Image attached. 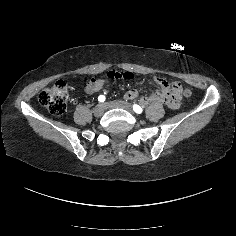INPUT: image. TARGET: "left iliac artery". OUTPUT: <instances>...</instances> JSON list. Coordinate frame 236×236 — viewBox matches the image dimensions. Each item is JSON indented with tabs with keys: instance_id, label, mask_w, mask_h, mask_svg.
Listing matches in <instances>:
<instances>
[{
	"instance_id": "1",
	"label": "left iliac artery",
	"mask_w": 236,
	"mask_h": 236,
	"mask_svg": "<svg viewBox=\"0 0 236 236\" xmlns=\"http://www.w3.org/2000/svg\"><path fill=\"white\" fill-rule=\"evenodd\" d=\"M133 110L137 113V114H141L142 113V108L139 106V105H137V104H134L133 105Z\"/></svg>"
}]
</instances>
